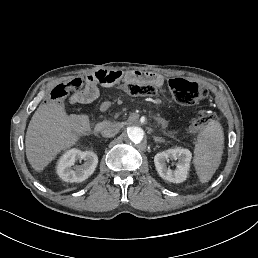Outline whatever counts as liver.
<instances>
[{
	"label": "liver",
	"mask_w": 258,
	"mask_h": 258,
	"mask_svg": "<svg viewBox=\"0 0 258 258\" xmlns=\"http://www.w3.org/2000/svg\"><path fill=\"white\" fill-rule=\"evenodd\" d=\"M79 118L68 117L58 102L41 104L30 120L26 133V155L35 170L46 166L54 154L77 141L74 127Z\"/></svg>",
	"instance_id": "1"
}]
</instances>
